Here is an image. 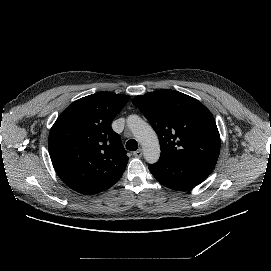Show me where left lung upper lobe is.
Segmentation results:
<instances>
[{
	"mask_svg": "<svg viewBox=\"0 0 271 271\" xmlns=\"http://www.w3.org/2000/svg\"><path fill=\"white\" fill-rule=\"evenodd\" d=\"M132 103L157 133L161 156L216 165L220 135L213 115L201 102L163 89L136 96Z\"/></svg>",
	"mask_w": 271,
	"mask_h": 271,
	"instance_id": "1",
	"label": "left lung upper lobe"
}]
</instances>
